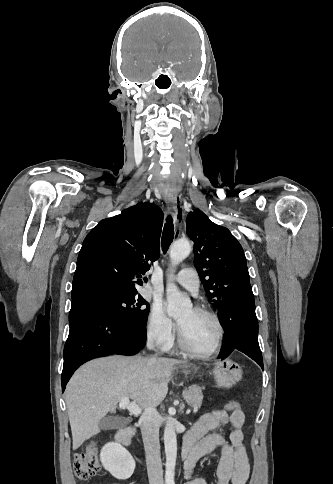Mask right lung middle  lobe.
Listing matches in <instances>:
<instances>
[{"label":"right lung middle lobe","instance_id":"right-lung-middle-lobe-1","mask_svg":"<svg viewBox=\"0 0 333 484\" xmlns=\"http://www.w3.org/2000/svg\"><path fill=\"white\" fill-rule=\"evenodd\" d=\"M90 294L102 299L107 306L137 329H146V322L149 313L148 303L136 293H116L108 290L91 292Z\"/></svg>","mask_w":333,"mask_h":484}]
</instances>
